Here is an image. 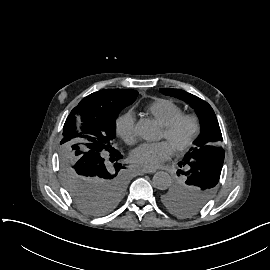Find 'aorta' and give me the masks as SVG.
<instances>
[{
	"label": "aorta",
	"instance_id": "obj_1",
	"mask_svg": "<svg viewBox=\"0 0 270 270\" xmlns=\"http://www.w3.org/2000/svg\"><path fill=\"white\" fill-rule=\"evenodd\" d=\"M153 186L159 190L167 189L171 184V177L167 172L158 171L153 176Z\"/></svg>",
	"mask_w": 270,
	"mask_h": 270
}]
</instances>
